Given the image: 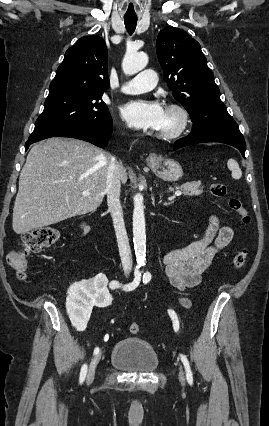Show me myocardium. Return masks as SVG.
<instances>
[{"mask_svg": "<svg viewBox=\"0 0 269 426\" xmlns=\"http://www.w3.org/2000/svg\"><path fill=\"white\" fill-rule=\"evenodd\" d=\"M166 111L175 115L177 122L173 128L159 132L158 137L163 140H174L179 138L187 130L190 123V116L187 109L180 104H170L167 106Z\"/></svg>", "mask_w": 269, "mask_h": 426, "instance_id": "myocardium-1", "label": "myocardium"}]
</instances>
